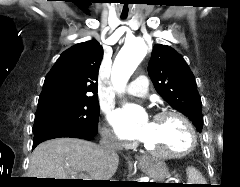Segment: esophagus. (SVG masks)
<instances>
[{"label":"esophagus","mask_w":240,"mask_h":187,"mask_svg":"<svg viewBox=\"0 0 240 187\" xmlns=\"http://www.w3.org/2000/svg\"><path fill=\"white\" fill-rule=\"evenodd\" d=\"M145 159H146L145 156H142L141 161H144Z\"/></svg>","instance_id":"esophagus-1"}]
</instances>
